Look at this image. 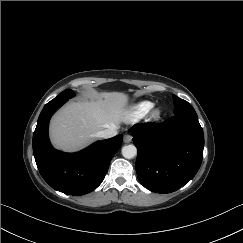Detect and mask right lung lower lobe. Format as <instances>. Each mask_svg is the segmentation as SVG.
<instances>
[{"instance_id":"obj_1","label":"right lung lower lobe","mask_w":243,"mask_h":243,"mask_svg":"<svg viewBox=\"0 0 243 243\" xmlns=\"http://www.w3.org/2000/svg\"><path fill=\"white\" fill-rule=\"evenodd\" d=\"M66 101L47 103L33 134V154L43 179L55 190L70 195H84L103 181L114 154L121 147L123 136L97 141L77 153L55 150L48 137L51 116Z\"/></svg>"}]
</instances>
